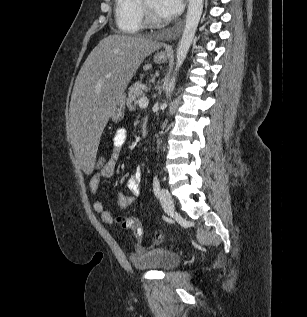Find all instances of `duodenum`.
<instances>
[{
	"instance_id": "410a0bca",
	"label": "duodenum",
	"mask_w": 307,
	"mask_h": 317,
	"mask_svg": "<svg viewBox=\"0 0 307 317\" xmlns=\"http://www.w3.org/2000/svg\"><path fill=\"white\" fill-rule=\"evenodd\" d=\"M147 131H148V126H147V123L144 121V122H142V124H141V133H142V136H146Z\"/></svg>"
}]
</instances>
